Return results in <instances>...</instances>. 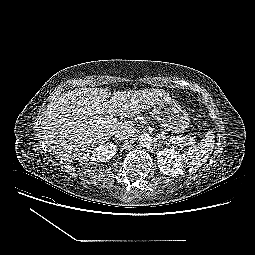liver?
<instances>
[{
    "label": "liver",
    "mask_w": 255,
    "mask_h": 255,
    "mask_svg": "<svg viewBox=\"0 0 255 255\" xmlns=\"http://www.w3.org/2000/svg\"><path fill=\"white\" fill-rule=\"evenodd\" d=\"M168 94L162 89L117 91L110 99L103 88H79L62 93L52 102L41 123L49 149L67 160H87L94 145L102 144L116 131L133 128V121L98 124L102 115L134 117Z\"/></svg>",
    "instance_id": "liver-1"
}]
</instances>
